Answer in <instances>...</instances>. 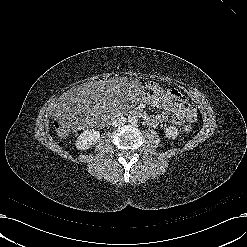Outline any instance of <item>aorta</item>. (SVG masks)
<instances>
[{"label": "aorta", "instance_id": "aorta-1", "mask_svg": "<svg viewBox=\"0 0 247 247\" xmlns=\"http://www.w3.org/2000/svg\"><path fill=\"white\" fill-rule=\"evenodd\" d=\"M128 122H129L130 124H133V125L137 124V122H138L137 116H135V115H130V116L128 117Z\"/></svg>", "mask_w": 247, "mask_h": 247}]
</instances>
